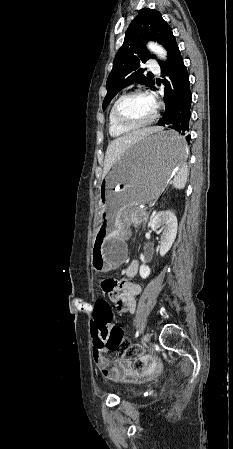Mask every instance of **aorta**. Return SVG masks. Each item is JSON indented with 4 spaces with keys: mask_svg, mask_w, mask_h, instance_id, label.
<instances>
[{
    "mask_svg": "<svg viewBox=\"0 0 233 449\" xmlns=\"http://www.w3.org/2000/svg\"><path fill=\"white\" fill-rule=\"evenodd\" d=\"M148 49L154 54H156L159 58L166 59L167 53L165 49L162 46L158 45L157 43L150 42L148 44Z\"/></svg>",
    "mask_w": 233,
    "mask_h": 449,
    "instance_id": "762f6f07",
    "label": "aorta"
}]
</instances>
